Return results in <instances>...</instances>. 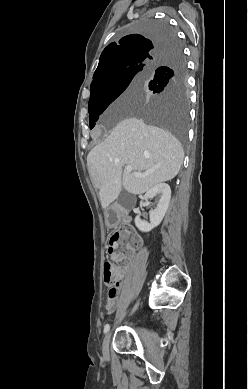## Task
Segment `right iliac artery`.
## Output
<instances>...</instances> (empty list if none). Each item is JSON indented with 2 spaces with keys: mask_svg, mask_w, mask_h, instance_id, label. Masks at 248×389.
Segmentation results:
<instances>
[{
  "mask_svg": "<svg viewBox=\"0 0 248 389\" xmlns=\"http://www.w3.org/2000/svg\"><path fill=\"white\" fill-rule=\"evenodd\" d=\"M109 329H110V325L109 324L105 325L104 333H107L109 331Z\"/></svg>",
  "mask_w": 248,
  "mask_h": 389,
  "instance_id": "1",
  "label": "right iliac artery"
}]
</instances>
